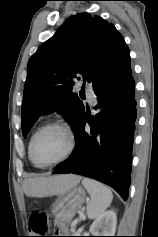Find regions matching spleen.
<instances>
[{
    "label": "spleen",
    "mask_w": 158,
    "mask_h": 237,
    "mask_svg": "<svg viewBox=\"0 0 158 237\" xmlns=\"http://www.w3.org/2000/svg\"><path fill=\"white\" fill-rule=\"evenodd\" d=\"M82 184L91 196L87 203V216L89 219H97L110 206L113 194L109 187L90 178H83Z\"/></svg>",
    "instance_id": "spleen-1"
}]
</instances>
